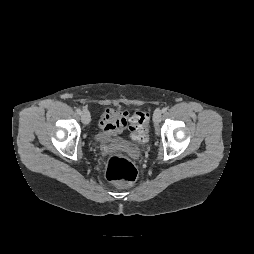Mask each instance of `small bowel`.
<instances>
[{"mask_svg": "<svg viewBox=\"0 0 254 254\" xmlns=\"http://www.w3.org/2000/svg\"><path fill=\"white\" fill-rule=\"evenodd\" d=\"M130 120L128 111L110 108L102 114L99 127L107 137L116 136L126 129Z\"/></svg>", "mask_w": 254, "mask_h": 254, "instance_id": "obj_1", "label": "small bowel"}]
</instances>
